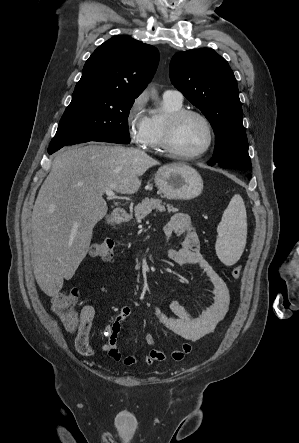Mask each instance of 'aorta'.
I'll return each mask as SVG.
<instances>
[{
  "label": "aorta",
  "mask_w": 299,
  "mask_h": 443,
  "mask_svg": "<svg viewBox=\"0 0 299 443\" xmlns=\"http://www.w3.org/2000/svg\"><path fill=\"white\" fill-rule=\"evenodd\" d=\"M154 94H155V91H152V97L154 96Z\"/></svg>",
  "instance_id": "aorta-1"
}]
</instances>
